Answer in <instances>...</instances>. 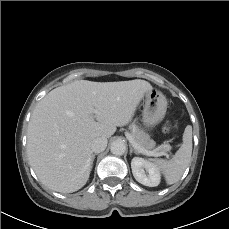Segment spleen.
<instances>
[{"label":"spleen","mask_w":229,"mask_h":229,"mask_svg":"<svg viewBox=\"0 0 229 229\" xmlns=\"http://www.w3.org/2000/svg\"><path fill=\"white\" fill-rule=\"evenodd\" d=\"M192 155V128L187 126L183 134V143L171 160L154 159L153 165L163 173L167 184L180 180L188 167Z\"/></svg>","instance_id":"obj_1"}]
</instances>
